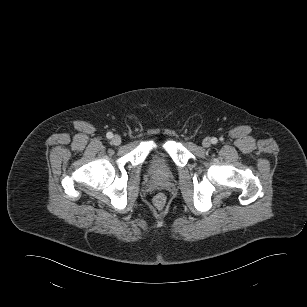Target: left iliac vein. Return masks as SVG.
<instances>
[{
    "mask_svg": "<svg viewBox=\"0 0 307 307\" xmlns=\"http://www.w3.org/2000/svg\"><path fill=\"white\" fill-rule=\"evenodd\" d=\"M203 146L204 147H209L210 145H211V140H210V138H205L204 140H203Z\"/></svg>",
    "mask_w": 307,
    "mask_h": 307,
    "instance_id": "obj_1",
    "label": "left iliac vein"
}]
</instances>
